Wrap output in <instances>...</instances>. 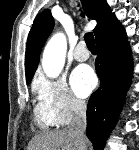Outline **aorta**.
<instances>
[{
    "instance_id": "762f6f07",
    "label": "aorta",
    "mask_w": 139,
    "mask_h": 150,
    "mask_svg": "<svg viewBox=\"0 0 139 150\" xmlns=\"http://www.w3.org/2000/svg\"><path fill=\"white\" fill-rule=\"evenodd\" d=\"M66 51V36L63 33L55 34L47 43L42 58V67L48 77L59 76L64 67Z\"/></svg>"
}]
</instances>
